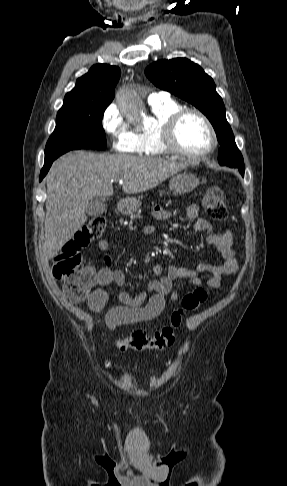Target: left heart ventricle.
<instances>
[{
  "mask_svg": "<svg viewBox=\"0 0 287 486\" xmlns=\"http://www.w3.org/2000/svg\"><path fill=\"white\" fill-rule=\"evenodd\" d=\"M177 144L185 151L200 152L210 145V134L204 122L189 114L179 123L176 131Z\"/></svg>",
  "mask_w": 287,
  "mask_h": 486,
  "instance_id": "1",
  "label": "left heart ventricle"
}]
</instances>
